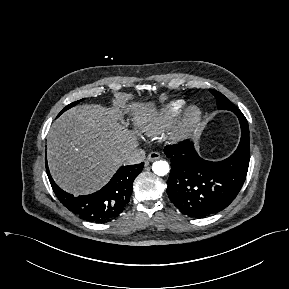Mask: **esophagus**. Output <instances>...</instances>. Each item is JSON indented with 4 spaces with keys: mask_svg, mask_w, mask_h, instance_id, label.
Returning a JSON list of instances; mask_svg holds the SVG:
<instances>
[{
    "mask_svg": "<svg viewBox=\"0 0 289 289\" xmlns=\"http://www.w3.org/2000/svg\"><path fill=\"white\" fill-rule=\"evenodd\" d=\"M161 158V155L157 152H151L148 157H147V160L152 162V161H155V160H158Z\"/></svg>",
    "mask_w": 289,
    "mask_h": 289,
    "instance_id": "1",
    "label": "esophagus"
}]
</instances>
